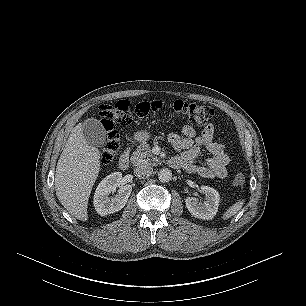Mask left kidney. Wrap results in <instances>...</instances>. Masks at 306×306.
Returning <instances> with one entry per match:
<instances>
[{
  "label": "left kidney",
  "instance_id": "1",
  "mask_svg": "<svg viewBox=\"0 0 306 306\" xmlns=\"http://www.w3.org/2000/svg\"><path fill=\"white\" fill-rule=\"evenodd\" d=\"M200 192L205 194L206 201L199 203L195 197H188L185 200L186 207L194 217L210 220L218 211L220 201L219 193L214 188L208 186H201Z\"/></svg>",
  "mask_w": 306,
  "mask_h": 306
}]
</instances>
